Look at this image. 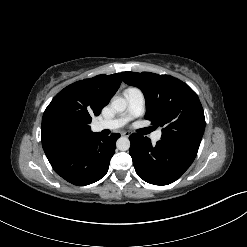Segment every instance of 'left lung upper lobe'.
<instances>
[{
    "mask_svg": "<svg viewBox=\"0 0 247 247\" xmlns=\"http://www.w3.org/2000/svg\"><path fill=\"white\" fill-rule=\"evenodd\" d=\"M123 81L142 90L145 118L163 127L161 139L198 152L205 117L197 94L184 82L169 75L122 72Z\"/></svg>",
    "mask_w": 247,
    "mask_h": 247,
    "instance_id": "left-lung-upper-lobe-1",
    "label": "left lung upper lobe"
}]
</instances>
